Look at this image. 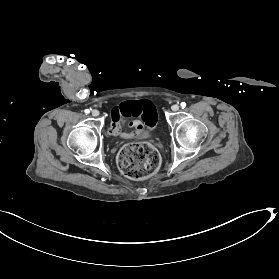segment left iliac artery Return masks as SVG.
<instances>
[{"label":"left iliac artery","instance_id":"left-iliac-artery-1","mask_svg":"<svg viewBox=\"0 0 279 279\" xmlns=\"http://www.w3.org/2000/svg\"><path fill=\"white\" fill-rule=\"evenodd\" d=\"M180 105H181L182 108H184L186 106V103L182 102Z\"/></svg>","mask_w":279,"mask_h":279}]
</instances>
